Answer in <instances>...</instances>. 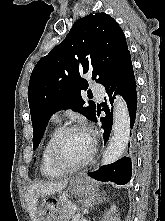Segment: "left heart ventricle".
Segmentation results:
<instances>
[{
    "instance_id": "left-heart-ventricle-1",
    "label": "left heart ventricle",
    "mask_w": 165,
    "mask_h": 221,
    "mask_svg": "<svg viewBox=\"0 0 165 221\" xmlns=\"http://www.w3.org/2000/svg\"><path fill=\"white\" fill-rule=\"evenodd\" d=\"M91 140L82 130L67 133L57 147V158L63 165L72 166L81 162L89 153Z\"/></svg>"
}]
</instances>
